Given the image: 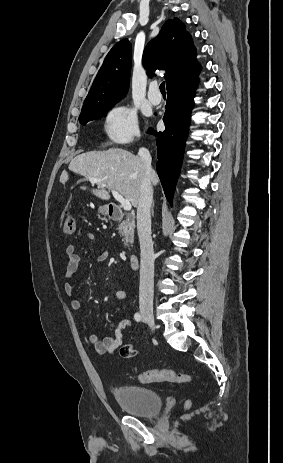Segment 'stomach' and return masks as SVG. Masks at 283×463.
Here are the masks:
<instances>
[{
  "label": "stomach",
  "instance_id": "stomach-1",
  "mask_svg": "<svg viewBox=\"0 0 283 463\" xmlns=\"http://www.w3.org/2000/svg\"><path fill=\"white\" fill-rule=\"evenodd\" d=\"M98 211L102 215H108L109 214L108 206H102V207L99 208Z\"/></svg>",
  "mask_w": 283,
  "mask_h": 463
}]
</instances>
